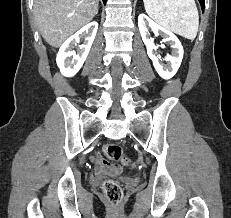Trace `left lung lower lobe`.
<instances>
[{"label":"left lung lower lobe","instance_id":"0a47b994","mask_svg":"<svg viewBox=\"0 0 231 218\" xmlns=\"http://www.w3.org/2000/svg\"><path fill=\"white\" fill-rule=\"evenodd\" d=\"M201 7H202V11H204V7H205V0H199Z\"/></svg>","mask_w":231,"mask_h":218}]
</instances>
